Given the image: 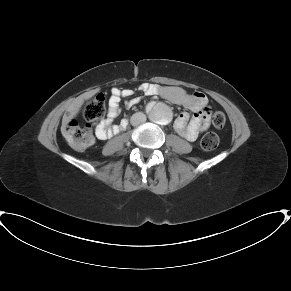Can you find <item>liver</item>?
I'll use <instances>...</instances> for the list:
<instances>
[{"mask_svg":"<svg viewBox=\"0 0 291 291\" xmlns=\"http://www.w3.org/2000/svg\"><path fill=\"white\" fill-rule=\"evenodd\" d=\"M97 91L98 90H91L89 92L83 93L72 101V103L67 108L68 115L64 114L63 116L62 127H65L69 123V121L79 113L85 100L93 97L97 93Z\"/></svg>","mask_w":291,"mask_h":291,"instance_id":"6515ba94","label":"liver"}]
</instances>
